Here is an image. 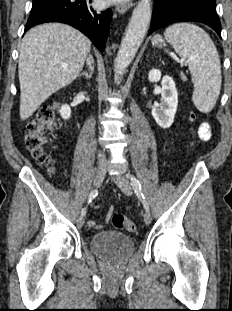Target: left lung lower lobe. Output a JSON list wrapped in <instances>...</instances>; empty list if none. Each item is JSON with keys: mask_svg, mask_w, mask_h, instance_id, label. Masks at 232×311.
Returning <instances> with one entry per match:
<instances>
[{"mask_svg": "<svg viewBox=\"0 0 232 311\" xmlns=\"http://www.w3.org/2000/svg\"><path fill=\"white\" fill-rule=\"evenodd\" d=\"M186 21L207 24L221 37L215 0H155L149 35L168 24Z\"/></svg>", "mask_w": 232, "mask_h": 311, "instance_id": "0a47b994", "label": "left lung lower lobe"}]
</instances>
